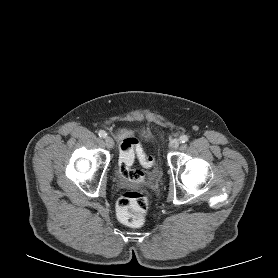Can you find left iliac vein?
Returning a JSON list of instances; mask_svg holds the SVG:
<instances>
[{"label": "left iliac vein", "mask_w": 278, "mask_h": 278, "mask_svg": "<svg viewBox=\"0 0 278 278\" xmlns=\"http://www.w3.org/2000/svg\"><path fill=\"white\" fill-rule=\"evenodd\" d=\"M179 139H174L170 142V148L171 149H177L179 147Z\"/></svg>", "instance_id": "left-iliac-vein-1"}]
</instances>
